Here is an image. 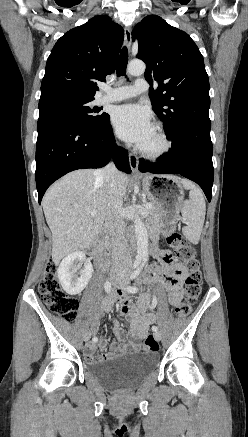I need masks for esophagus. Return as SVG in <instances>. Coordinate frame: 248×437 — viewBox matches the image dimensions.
<instances>
[{
	"label": "esophagus",
	"mask_w": 248,
	"mask_h": 437,
	"mask_svg": "<svg viewBox=\"0 0 248 437\" xmlns=\"http://www.w3.org/2000/svg\"><path fill=\"white\" fill-rule=\"evenodd\" d=\"M131 40H132L131 28L129 26H125V28H124V41H125V45L128 48H130ZM129 164H130L132 172L134 174H137L138 173V158L133 153H129Z\"/></svg>",
	"instance_id": "34e87169"
}]
</instances>
